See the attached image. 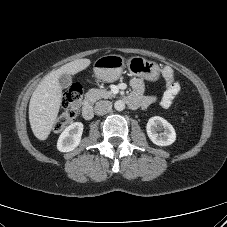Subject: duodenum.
<instances>
[{
  "instance_id": "1",
  "label": "duodenum",
  "mask_w": 227,
  "mask_h": 227,
  "mask_svg": "<svg viewBox=\"0 0 227 227\" xmlns=\"http://www.w3.org/2000/svg\"><path fill=\"white\" fill-rule=\"evenodd\" d=\"M127 103L129 104V106L131 107H135V103L128 97L127 98ZM82 116L84 119L86 120H90L93 118L94 116V111H93V106L90 102H85L83 105V109H82Z\"/></svg>"
}]
</instances>
